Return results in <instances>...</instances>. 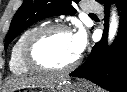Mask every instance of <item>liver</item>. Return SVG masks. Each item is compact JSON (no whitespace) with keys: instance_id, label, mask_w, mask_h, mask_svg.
<instances>
[{"instance_id":"liver-1","label":"liver","mask_w":127,"mask_h":92,"mask_svg":"<svg viewBox=\"0 0 127 92\" xmlns=\"http://www.w3.org/2000/svg\"><path fill=\"white\" fill-rule=\"evenodd\" d=\"M67 78L57 75L34 76V77H14L8 79L4 86L3 92H13L21 88H49L58 84L66 83Z\"/></svg>"}]
</instances>
